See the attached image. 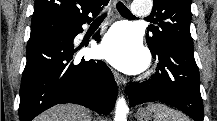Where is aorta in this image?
I'll return each instance as SVG.
<instances>
[{"label":"aorta","mask_w":217,"mask_h":121,"mask_svg":"<svg viewBox=\"0 0 217 121\" xmlns=\"http://www.w3.org/2000/svg\"><path fill=\"white\" fill-rule=\"evenodd\" d=\"M128 106L123 97L118 98L114 121H127Z\"/></svg>","instance_id":"1"}]
</instances>
